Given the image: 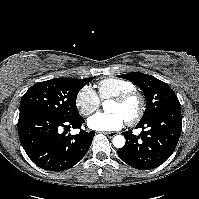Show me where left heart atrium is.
Returning a JSON list of instances; mask_svg holds the SVG:
<instances>
[{
	"instance_id": "39dd6f15",
	"label": "left heart atrium",
	"mask_w": 199,
	"mask_h": 199,
	"mask_svg": "<svg viewBox=\"0 0 199 199\" xmlns=\"http://www.w3.org/2000/svg\"><path fill=\"white\" fill-rule=\"evenodd\" d=\"M126 123V118L120 113H98L88 119V126L97 131H116Z\"/></svg>"
}]
</instances>
